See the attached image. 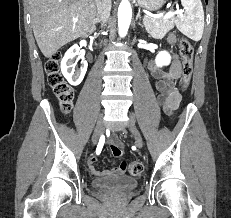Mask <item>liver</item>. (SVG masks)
Segmentation results:
<instances>
[{"instance_id": "6515ba94", "label": "liver", "mask_w": 231, "mask_h": 218, "mask_svg": "<svg viewBox=\"0 0 231 218\" xmlns=\"http://www.w3.org/2000/svg\"><path fill=\"white\" fill-rule=\"evenodd\" d=\"M97 0H29L31 23L42 54L50 58L62 46L93 31ZM77 18V22H73Z\"/></svg>"}]
</instances>
